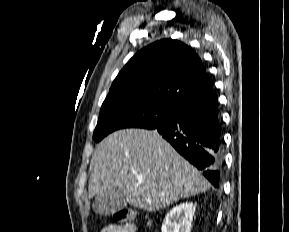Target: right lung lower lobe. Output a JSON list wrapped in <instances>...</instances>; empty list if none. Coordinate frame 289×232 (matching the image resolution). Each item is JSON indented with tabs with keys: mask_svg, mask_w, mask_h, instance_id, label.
Returning a JSON list of instances; mask_svg holds the SVG:
<instances>
[{
	"mask_svg": "<svg viewBox=\"0 0 289 232\" xmlns=\"http://www.w3.org/2000/svg\"><path fill=\"white\" fill-rule=\"evenodd\" d=\"M177 152L219 186L223 167L221 118L217 98L181 107L171 121L155 128Z\"/></svg>",
	"mask_w": 289,
	"mask_h": 232,
	"instance_id": "1",
	"label": "right lung lower lobe"
}]
</instances>
